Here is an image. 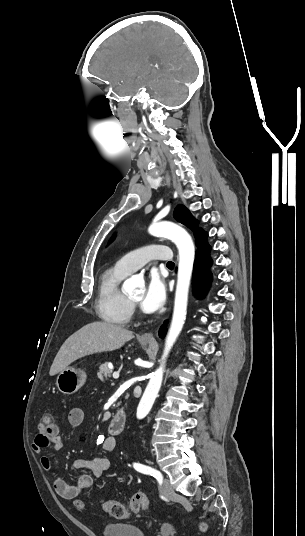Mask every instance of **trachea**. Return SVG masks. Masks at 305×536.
Returning a JSON list of instances; mask_svg holds the SVG:
<instances>
[{"label":"trachea","mask_w":305,"mask_h":536,"mask_svg":"<svg viewBox=\"0 0 305 536\" xmlns=\"http://www.w3.org/2000/svg\"><path fill=\"white\" fill-rule=\"evenodd\" d=\"M167 267H168L170 270H173V268H174V263H173V261H168V263H167Z\"/></svg>","instance_id":"1"}]
</instances>
